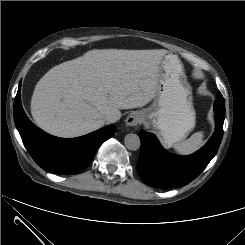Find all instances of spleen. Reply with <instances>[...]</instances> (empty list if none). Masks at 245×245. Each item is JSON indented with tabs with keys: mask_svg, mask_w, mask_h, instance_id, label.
Returning <instances> with one entry per match:
<instances>
[{
	"mask_svg": "<svg viewBox=\"0 0 245 245\" xmlns=\"http://www.w3.org/2000/svg\"><path fill=\"white\" fill-rule=\"evenodd\" d=\"M203 132H196L185 141L173 145L175 151L181 155L192 154L203 145Z\"/></svg>",
	"mask_w": 245,
	"mask_h": 245,
	"instance_id": "1",
	"label": "spleen"
}]
</instances>
